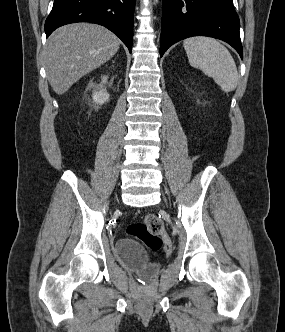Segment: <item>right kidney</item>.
I'll return each instance as SVG.
<instances>
[{"label": "right kidney", "instance_id": "obj_1", "mask_svg": "<svg viewBox=\"0 0 285 332\" xmlns=\"http://www.w3.org/2000/svg\"><path fill=\"white\" fill-rule=\"evenodd\" d=\"M107 81V77H102V83L104 84ZM90 87H94V84L91 83ZM93 101L96 104L102 105L103 103L107 102L109 100V94L107 93L106 89L103 88V85H100L97 87V89L93 92L92 95Z\"/></svg>", "mask_w": 285, "mask_h": 332}]
</instances>
